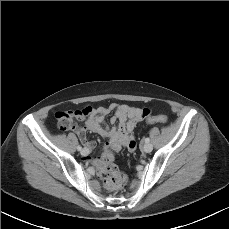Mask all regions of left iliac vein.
Instances as JSON below:
<instances>
[{
	"label": "left iliac vein",
	"mask_w": 229,
	"mask_h": 229,
	"mask_svg": "<svg viewBox=\"0 0 229 229\" xmlns=\"http://www.w3.org/2000/svg\"><path fill=\"white\" fill-rule=\"evenodd\" d=\"M143 150L146 153H150L153 150V145L151 143H145Z\"/></svg>",
	"instance_id": "left-iliac-vein-1"
}]
</instances>
